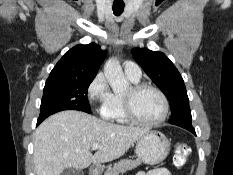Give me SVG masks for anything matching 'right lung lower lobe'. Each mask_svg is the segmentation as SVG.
<instances>
[{
    "label": "right lung lower lobe",
    "instance_id": "1",
    "mask_svg": "<svg viewBox=\"0 0 233 175\" xmlns=\"http://www.w3.org/2000/svg\"><path fill=\"white\" fill-rule=\"evenodd\" d=\"M42 121H43V120L38 119V121H37V125H39Z\"/></svg>",
    "mask_w": 233,
    "mask_h": 175
}]
</instances>
